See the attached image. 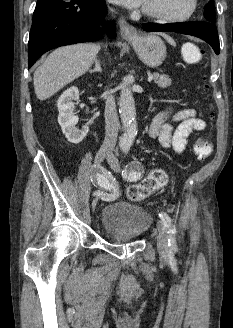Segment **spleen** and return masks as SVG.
Returning a JSON list of instances; mask_svg holds the SVG:
<instances>
[{"label": "spleen", "instance_id": "1", "mask_svg": "<svg viewBox=\"0 0 233 328\" xmlns=\"http://www.w3.org/2000/svg\"><path fill=\"white\" fill-rule=\"evenodd\" d=\"M184 49H192L193 52H194L196 55H198V50H197V48H196L193 44H191V43H187V44H185Z\"/></svg>", "mask_w": 233, "mask_h": 328}]
</instances>
